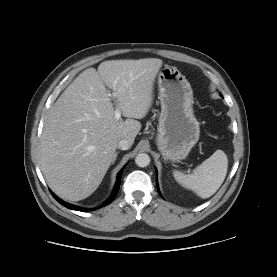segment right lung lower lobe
Returning <instances> with one entry per match:
<instances>
[{
  "label": "right lung lower lobe",
  "mask_w": 277,
  "mask_h": 277,
  "mask_svg": "<svg viewBox=\"0 0 277 277\" xmlns=\"http://www.w3.org/2000/svg\"><path fill=\"white\" fill-rule=\"evenodd\" d=\"M122 172H123V169L118 173V176H117V181H116V184H115V187H114V190H113V193L111 195V197L108 199V201H106L104 204H102L101 206H99L98 208H101L103 206H106L108 204H110L116 197L118 191H119V188H120V181H121V175H122ZM52 196L63 206H65L66 208H69V209H72V210H77V211H91V210H95V209H98V208H95V209H92V208H82V207H78V206H75V205H72V204H69V203H66L64 202L63 200H61L60 198H58L56 195H54L52 192H51Z\"/></svg>",
  "instance_id": "obj_1"
}]
</instances>
